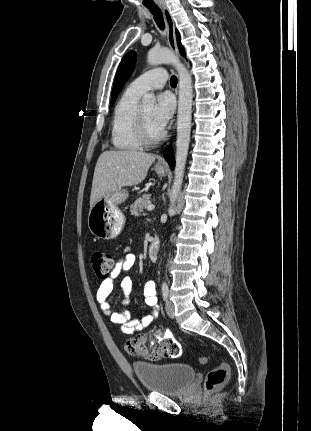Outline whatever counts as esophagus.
<instances>
[{
	"label": "esophagus",
	"mask_w": 311,
	"mask_h": 431,
	"mask_svg": "<svg viewBox=\"0 0 311 431\" xmlns=\"http://www.w3.org/2000/svg\"><path fill=\"white\" fill-rule=\"evenodd\" d=\"M160 8L163 12L164 19H165L166 26H167V40H168L169 47L175 53L177 58H179V50H178L177 42H176L175 26H174L173 17H172L170 10L166 4H164V5L161 4ZM174 129H175V127H173V130ZM170 141H171V139H169L165 143L164 147H166L170 143ZM158 164H165V160L163 158H158Z\"/></svg>",
	"instance_id": "1"
}]
</instances>
